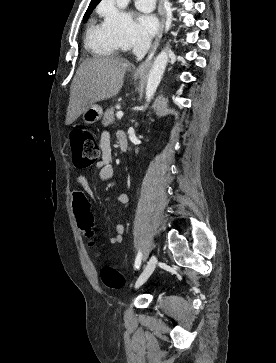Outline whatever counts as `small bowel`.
<instances>
[{
	"instance_id": "1",
	"label": "small bowel",
	"mask_w": 276,
	"mask_h": 363,
	"mask_svg": "<svg viewBox=\"0 0 276 363\" xmlns=\"http://www.w3.org/2000/svg\"><path fill=\"white\" fill-rule=\"evenodd\" d=\"M118 134V133H117ZM100 148L102 152L101 160L97 162L96 167L99 170V178L102 181H109L114 176V167L111 164V137L108 132H104L100 138ZM75 182L81 186L87 185V180L83 175H77ZM72 206L77 214V218H88L92 221V213L90 211V201L87 193L82 189H74L71 193ZM117 201L123 205H130V198L127 194L121 193L117 196ZM82 230V229H81ZM87 238L94 236V225L92 224L87 230H82ZM125 234V226L122 223L115 225V235L109 242L111 244H120Z\"/></svg>"
}]
</instances>
